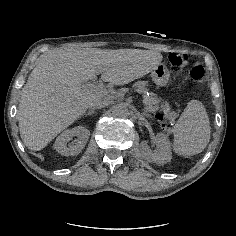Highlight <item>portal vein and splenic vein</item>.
Segmentation results:
<instances>
[{
	"mask_svg": "<svg viewBox=\"0 0 236 236\" xmlns=\"http://www.w3.org/2000/svg\"><path fill=\"white\" fill-rule=\"evenodd\" d=\"M81 88H82L83 90H85V91L92 89L93 91H95V92H100V93H102V94L107 93V92H105V90L103 89V83H99V84H97V85H95V84H90V83L82 84V85H81Z\"/></svg>",
	"mask_w": 236,
	"mask_h": 236,
	"instance_id": "portal-vein-and-splenic-vein-1",
	"label": "portal vein and splenic vein"
}]
</instances>
